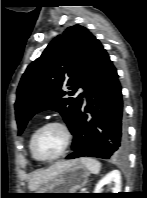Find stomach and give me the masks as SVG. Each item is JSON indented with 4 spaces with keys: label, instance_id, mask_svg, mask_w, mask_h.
<instances>
[{
    "label": "stomach",
    "instance_id": "1",
    "mask_svg": "<svg viewBox=\"0 0 147 198\" xmlns=\"http://www.w3.org/2000/svg\"><path fill=\"white\" fill-rule=\"evenodd\" d=\"M88 176L89 171L84 165L74 164L32 193L38 198L63 197V194L47 193H75L87 184Z\"/></svg>",
    "mask_w": 147,
    "mask_h": 198
}]
</instances>
